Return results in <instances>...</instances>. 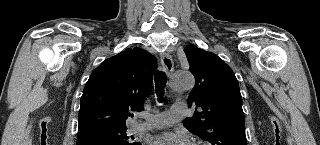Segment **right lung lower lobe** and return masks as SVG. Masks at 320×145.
I'll return each mask as SVG.
<instances>
[{
	"instance_id": "1",
	"label": "right lung lower lobe",
	"mask_w": 320,
	"mask_h": 145,
	"mask_svg": "<svg viewBox=\"0 0 320 145\" xmlns=\"http://www.w3.org/2000/svg\"><path fill=\"white\" fill-rule=\"evenodd\" d=\"M77 145H113V144L97 138H80L77 140Z\"/></svg>"
}]
</instances>
